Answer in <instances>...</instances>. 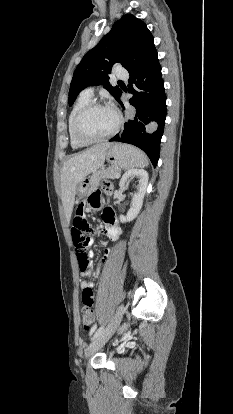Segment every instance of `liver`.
Instances as JSON below:
<instances>
[{"instance_id":"liver-1","label":"liver","mask_w":233,"mask_h":414,"mask_svg":"<svg viewBox=\"0 0 233 414\" xmlns=\"http://www.w3.org/2000/svg\"><path fill=\"white\" fill-rule=\"evenodd\" d=\"M111 143L97 144L68 159L61 169L62 204L67 220L73 211L77 185L90 173L103 166Z\"/></svg>"}]
</instances>
